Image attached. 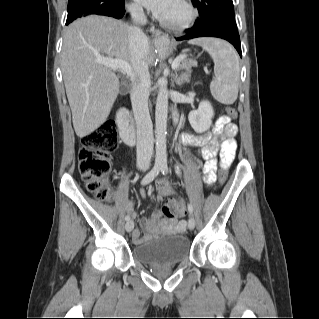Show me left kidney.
I'll use <instances>...</instances> for the list:
<instances>
[{
	"instance_id": "obj_1",
	"label": "left kidney",
	"mask_w": 319,
	"mask_h": 319,
	"mask_svg": "<svg viewBox=\"0 0 319 319\" xmlns=\"http://www.w3.org/2000/svg\"><path fill=\"white\" fill-rule=\"evenodd\" d=\"M214 110L208 101H202L197 110H193L188 115L191 127L197 132L207 131L212 125Z\"/></svg>"
}]
</instances>
